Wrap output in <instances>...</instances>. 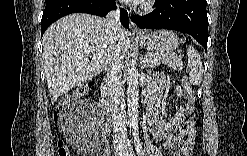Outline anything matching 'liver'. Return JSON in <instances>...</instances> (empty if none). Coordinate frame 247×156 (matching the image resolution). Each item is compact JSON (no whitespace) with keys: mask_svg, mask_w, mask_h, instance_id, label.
I'll list each match as a JSON object with an SVG mask.
<instances>
[{"mask_svg":"<svg viewBox=\"0 0 247 156\" xmlns=\"http://www.w3.org/2000/svg\"><path fill=\"white\" fill-rule=\"evenodd\" d=\"M106 21L95 15L74 13L53 23L42 38L45 77L54 104L76 86L99 75L108 56L121 60L129 47L130 33L121 28L114 40Z\"/></svg>","mask_w":247,"mask_h":156,"instance_id":"6515ba94","label":"liver"}]
</instances>
